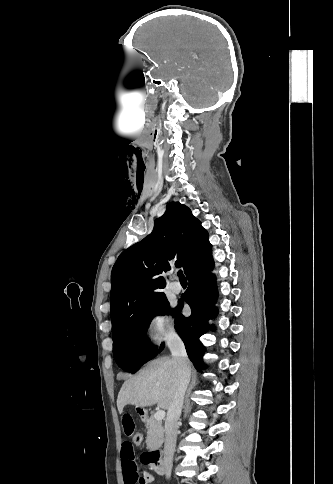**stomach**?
<instances>
[{
	"mask_svg": "<svg viewBox=\"0 0 333 484\" xmlns=\"http://www.w3.org/2000/svg\"><path fill=\"white\" fill-rule=\"evenodd\" d=\"M136 411H137V412H138V413H139V414H140L142 417H144V416H145V413H146L145 409L137 407V408H136Z\"/></svg>",
	"mask_w": 333,
	"mask_h": 484,
	"instance_id": "obj_1",
	"label": "stomach"
}]
</instances>
